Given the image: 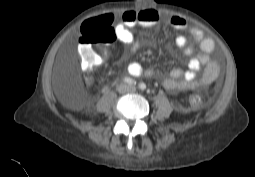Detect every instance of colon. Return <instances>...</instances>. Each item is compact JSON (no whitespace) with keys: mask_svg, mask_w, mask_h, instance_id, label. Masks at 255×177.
<instances>
[{"mask_svg":"<svg viewBox=\"0 0 255 177\" xmlns=\"http://www.w3.org/2000/svg\"><path fill=\"white\" fill-rule=\"evenodd\" d=\"M115 38V33L107 16L85 21L78 34V53L83 68L91 70L96 65V54L92 47L109 45L114 42Z\"/></svg>","mask_w":255,"mask_h":177,"instance_id":"obj_1","label":"colon"}]
</instances>
